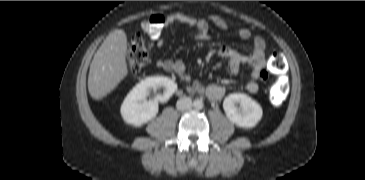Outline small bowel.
Listing matches in <instances>:
<instances>
[{"mask_svg":"<svg viewBox=\"0 0 365 180\" xmlns=\"http://www.w3.org/2000/svg\"><path fill=\"white\" fill-rule=\"evenodd\" d=\"M209 20L220 30L228 29L227 22L220 16L213 15ZM176 23L194 28L199 40H210L209 25L205 19H196L179 12L166 16L165 26H172ZM238 35L241 39L248 40L252 44L253 51L250 55L242 54L236 49L227 46L218 47L217 52L228 62L229 70L232 74H238L242 66L247 65L250 67L252 79L246 83L245 89L250 94H256L259 91V83L257 80L265 81L268 76L266 71L267 60L265 42L262 37L253 35L248 28L239 29ZM154 39L158 47L164 45L165 38L163 34ZM157 66L166 71L176 73L182 82L188 84L189 91L203 93L209 100L218 101L225 94V88L219 84H203L199 81H191V77L186 72L185 66L181 61L159 59L157 61Z\"/></svg>","mask_w":365,"mask_h":180,"instance_id":"1","label":"small bowel"}]
</instances>
